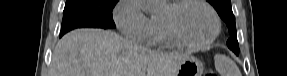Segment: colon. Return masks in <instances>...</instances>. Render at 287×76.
<instances>
[{
    "mask_svg": "<svg viewBox=\"0 0 287 76\" xmlns=\"http://www.w3.org/2000/svg\"><path fill=\"white\" fill-rule=\"evenodd\" d=\"M206 76H216V74L214 72H208Z\"/></svg>",
    "mask_w": 287,
    "mask_h": 76,
    "instance_id": "colon-1",
    "label": "colon"
}]
</instances>
